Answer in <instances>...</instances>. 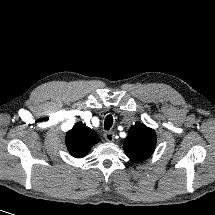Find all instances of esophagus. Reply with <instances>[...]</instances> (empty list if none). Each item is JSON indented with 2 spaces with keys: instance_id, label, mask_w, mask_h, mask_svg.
I'll return each instance as SVG.
<instances>
[{
  "instance_id": "1",
  "label": "esophagus",
  "mask_w": 215,
  "mask_h": 215,
  "mask_svg": "<svg viewBox=\"0 0 215 215\" xmlns=\"http://www.w3.org/2000/svg\"><path fill=\"white\" fill-rule=\"evenodd\" d=\"M104 137H105L106 141L113 142L115 139V134L112 131H108V132H105Z\"/></svg>"
}]
</instances>
